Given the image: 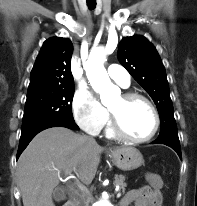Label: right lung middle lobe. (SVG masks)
I'll use <instances>...</instances> for the list:
<instances>
[{
	"label": "right lung middle lobe",
	"mask_w": 197,
	"mask_h": 206,
	"mask_svg": "<svg viewBox=\"0 0 197 206\" xmlns=\"http://www.w3.org/2000/svg\"><path fill=\"white\" fill-rule=\"evenodd\" d=\"M74 90V85L28 89L22 130L46 121H74Z\"/></svg>",
	"instance_id": "dd1d6c3e"
}]
</instances>
